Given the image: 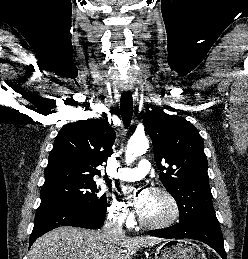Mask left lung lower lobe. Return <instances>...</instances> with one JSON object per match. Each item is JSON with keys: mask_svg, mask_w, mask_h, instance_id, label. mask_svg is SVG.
<instances>
[{"mask_svg": "<svg viewBox=\"0 0 248 259\" xmlns=\"http://www.w3.org/2000/svg\"><path fill=\"white\" fill-rule=\"evenodd\" d=\"M148 234L168 239L190 238L199 240L215 249L222 259H227L222 232L215 214L194 217L169 228L149 231Z\"/></svg>", "mask_w": 248, "mask_h": 259, "instance_id": "1", "label": "left lung lower lobe"}]
</instances>
